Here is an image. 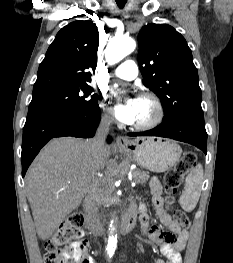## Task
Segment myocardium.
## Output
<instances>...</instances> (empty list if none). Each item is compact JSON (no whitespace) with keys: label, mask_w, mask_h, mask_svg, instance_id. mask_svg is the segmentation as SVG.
Instances as JSON below:
<instances>
[{"label":"myocardium","mask_w":233,"mask_h":263,"mask_svg":"<svg viewBox=\"0 0 233 263\" xmlns=\"http://www.w3.org/2000/svg\"><path fill=\"white\" fill-rule=\"evenodd\" d=\"M139 98L148 100L152 104L154 108V114L149 120L141 123H136L132 126V128L137 131L150 130L159 125L164 119L165 110L163 103L158 96L151 92H144L139 96Z\"/></svg>","instance_id":"f54148a6"}]
</instances>
